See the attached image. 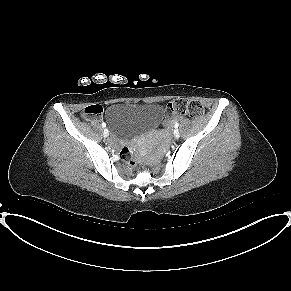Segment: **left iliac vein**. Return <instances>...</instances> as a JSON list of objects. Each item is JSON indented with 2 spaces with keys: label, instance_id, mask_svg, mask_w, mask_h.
<instances>
[{
  "label": "left iliac vein",
  "instance_id": "4c4485c4",
  "mask_svg": "<svg viewBox=\"0 0 291 291\" xmlns=\"http://www.w3.org/2000/svg\"><path fill=\"white\" fill-rule=\"evenodd\" d=\"M174 136H175V138H179L180 133H179L178 129L174 130Z\"/></svg>",
  "mask_w": 291,
  "mask_h": 291
}]
</instances>
